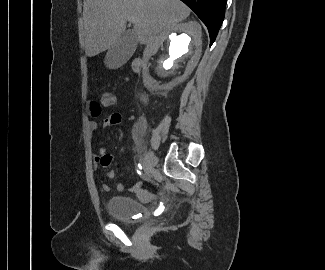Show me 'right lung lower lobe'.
<instances>
[{"mask_svg":"<svg viewBox=\"0 0 325 270\" xmlns=\"http://www.w3.org/2000/svg\"><path fill=\"white\" fill-rule=\"evenodd\" d=\"M190 7L206 25L213 44L224 20L227 0H181Z\"/></svg>","mask_w":325,"mask_h":270,"instance_id":"1","label":"right lung lower lobe"}]
</instances>
